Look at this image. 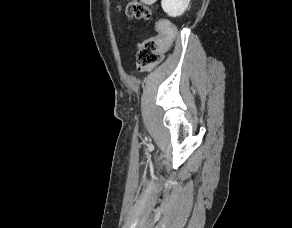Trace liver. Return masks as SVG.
Instances as JSON below:
<instances>
[{
	"mask_svg": "<svg viewBox=\"0 0 292 228\" xmlns=\"http://www.w3.org/2000/svg\"><path fill=\"white\" fill-rule=\"evenodd\" d=\"M142 3H145L147 5H152L155 3L157 0H140Z\"/></svg>",
	"mask_w": 292,
	"mask_h": 228,
	"instance_id": "liver-1",
	"label": "liver"
}]
</instances>
